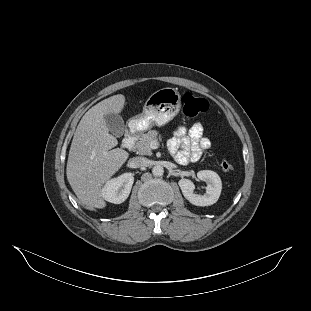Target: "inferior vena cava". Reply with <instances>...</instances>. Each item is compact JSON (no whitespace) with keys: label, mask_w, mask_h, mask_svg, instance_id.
<instances>
[{"label":"inferior vena cava","mask_w":311,"mask_h":311,"mask_svg":"<svg viewBox=\"0 0 311 311\" xmlns=\"http://www.w3.org/2000/svg\"><path fill=\"white\" fill-rule=\"evenodd\" d=\"M128 164L132 167V168H140V167H146L148 165V159L144 158V157H133L129 160Z\"/></svg>","instance_id":"1"}]
</instances>
